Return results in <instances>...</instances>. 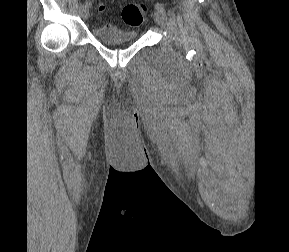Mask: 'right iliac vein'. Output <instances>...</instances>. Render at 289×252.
<instances>
[{"mask_svg":"<svg viewBox=\"0 0 289 252\" xmlns=\"http://www.w3.org/2000/svg\"><path fill=\"white\" fill-rule=\"evenodd\" d=\"M79 12H80V15L83 19H88V17H89L88 7H85L84 5H80Z\"/></svg>","mask_w":289,"mask_h":252,"instance_id":"obj_1","label":"right iliac vein"}]
</instances>
